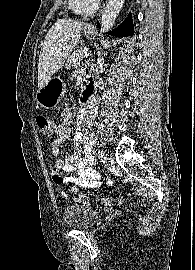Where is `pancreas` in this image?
Listing matches in <instances>:
<instances>
[{"label":"pancreas","instance_id":"cf45deb5","mask_svg":"<svg viewBox=\"0 0 195 270\" xmlns=\"http://www.w3.org/2000/svg\"><path fill=\"white\" fill-rule=\"evenodd\" d=\"M86 52L85 48L77 49L72 53L67 61V67L70 69L72 67H78L80 62L83 60L84 57H81Z\"/></svg>","mask_w":195,"mask_h":270}]
</instances>
